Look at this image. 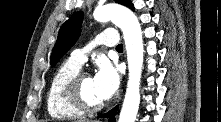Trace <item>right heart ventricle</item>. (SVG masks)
I'll return each mask as SVG.
<instances>
[{
	"mask_svg": "<svg viewBox=\"0 0 221 122\" xmlns=\"http://www.w3.org/2000/svg\"><path fill=\"white\" fill-rule=\"evenodd\" d=\"M81 66L69 59L55 71L47 92V110L55 119H73L81 117L84 112L74 107L66 96L68 81L80 71Z\"/></svg>",
	"mask_w": 221,
	"mask_h": 122,
	"instance_id": "right-heart-ventricle-1",
	"label": "right heart ventricle"
}]
</instances>
